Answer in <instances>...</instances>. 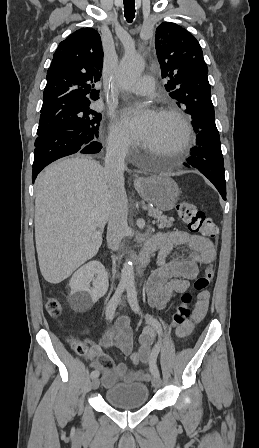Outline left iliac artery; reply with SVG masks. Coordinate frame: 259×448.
Wrapping results in <instances>:
<instances>
[{"instance_id": "left-iliac-artery-1", "label": "left iliac artery", "mask_w": 259, "mask_h": 448, "mask_svg": "<svg viewBox=\"0 0 259 448\" xmlns=\"http://www.w3.org/2000/svg\"><path fill=\"white\" fill-rule=\"evenodd\" d=\"M126 291H127V298H128V302L131 306V309L136 312V313H140V308H139V304H138V299H137V292H136V287L134 285V283H128L126 285ZM145 320L148 324L152 325L153 328L156 330V332L158 333L159 336V340L158 342L155 344V346L152 349L151 352V356L152 358L156 361L157 356L160 352V348H161V337H162V326L159 323L158 320H156L155 318L151 317V316H145ZM153 376H160L159 370L156 367L153 371H152Z\"/></svg>"}]
</instances>
